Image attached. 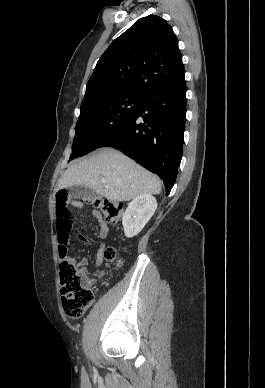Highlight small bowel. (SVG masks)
<instances>
[{
	"label": "small bowel",
	"instance_id": "c3829d8e",
	"mask_svg": "<svg viewBox=\"0 0 265 388\" xmlns=\"http://www.w3.org/2000/svg\"><path fill=\"white\" fill-rule=\"evenodd\" d=\"M71 205L78 208V209H83L85 207V205L82 202L77 201V200H73L71 202ZM91 214L99 222V236H100V238L105 239L109 233L108 225L102 220V216H101L100 212L94 210V211H92ZM79 239H80V241H82L85 244H88V245L91 244V240L83 235H80ZM104 251H105L104 245H101L100 248L98 249L96 257H95V267H99L103 263ZM71 262H73L74 264H76L79 267H85L88 265L87 258H82L78 262L74 259H71ZM90 282H91V284L94 283L93 280H91Z\"/></svg>",
	"mask_w": 265,
	"mask_h": 388
}]
</instances>
